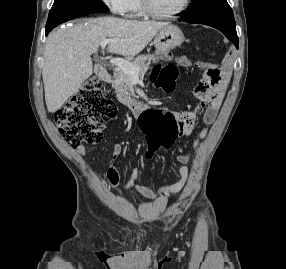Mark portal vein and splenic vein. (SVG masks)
<instances>
[{"mask_svg":"<svg viewBox=\"0 0 286 269\" xmlns=\"http://www.w3.org/2000/svg\"><path fill=\"white\" fill-rule=\"evenodd\" d=\"M112 40L110 39H103L101 40V47L102 49H105L107 44H109ZM110 63L114 66H117L124 72L128 73L133 81H138L139 80V75H138V68L134 67L130 62L124 60V59H111Z\"/></svg>","mask_w":286,"mask_h":269,"instance_id":"1","label":"portal vein and splenic vein"}]
</instances>
